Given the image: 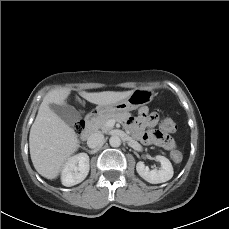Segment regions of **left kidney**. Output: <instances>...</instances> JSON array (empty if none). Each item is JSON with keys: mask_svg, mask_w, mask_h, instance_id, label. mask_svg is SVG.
Instances as JSON below:
<instances>
[{"mask_svg": "<svg viewBox=\"0 0 229 229\" xmlns=\"http://www.w3.org/2000/svg\"><path fill=\"white\" fill-rule=\"evenodd\" d=\"M155 159L161 163L159 170H150L148 166H145L144 162L140 161L136 165L137 173L144 180L152 184L163 183L170 180L173 177L174 171L169 159L161 155H157Z\"/></svg>", "mask_w": 229, "mask_h": 229, "instance_id": "1", "label": "left kidney"}]
</instances>
